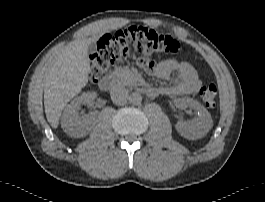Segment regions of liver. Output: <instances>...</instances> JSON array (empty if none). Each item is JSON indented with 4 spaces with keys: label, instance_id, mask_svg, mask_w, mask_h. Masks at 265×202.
Returning a JSON list of instances; mask_svg holds the SVG:
<instances>
[{
    "label": "liver",
    "instance_id": "6515ba94",
    "mask_svg": "<svg viewBox=\"0 0 265 202\" xmlns=\"http://www.w3.org/2000/svg\"><path fill=\"white\" fill-rule=\"evenodd\" d=\"M97 39L93 37L70 42L54 59L44 88L45 114L53 128L58 127L67 103L87 85L90 71L87 48Z\"/></svg>",
    "mask_w": 265,
    "mask_h": 202
}]
</instances>
